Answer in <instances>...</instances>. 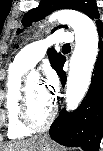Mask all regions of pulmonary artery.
Returning a JSON list of instances; mask_svg holds the SVG:
<instances>
[{
    "mask_svg": "<svg viewBox=\"0 0 103 151\" xmlns=\"http://www.w3.org/2000/svg\"><path fill=\"white\" fill-rule=\"evenodd\" d=\"M73 34L66 31H58L54 35L33 42L23 48L16 56L15 61L26 69L34 67L46 54L47 49L56 43H71Z\"/></svg>",
    "mask_w": 103,
    "mask_h": 151,
    "instance_id": "e3ab8cb5",
    "label": "pulmonary artery"
}]
</instances>
